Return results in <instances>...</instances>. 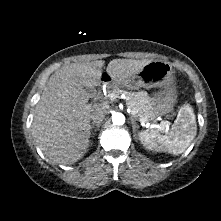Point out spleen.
I'll list each match as a JSON object with an SVG mask.
<instances>
[{
	"mask_svg": "<svg viewBox=\"0 0 221 221\" xmlns=\"http://www.w3.org/2000/svg\"><path fill=\"white\" fill-rule=\"evenodd\" d=\"M197 133L195 114L190 105H184L178 112L177 125L166 134L158 130L147 129L139 133V138L146 148L173 154L183 153Z\"/></svg>",
	"mask_w": 221,
	"mask_h": 221,
	"instance_id": "3e777b00",
	"label": "spleen"
}]
</instances>
